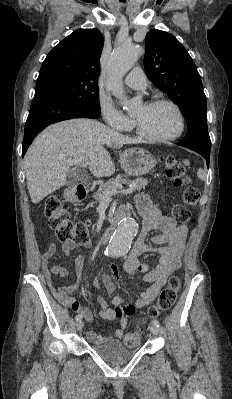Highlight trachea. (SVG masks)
<instances>
[{"mask_svg": "<svg viewBox=\"0 0 232 399\" xmlns=\"http://www.w3.org/2000/svg\"><path fill=\"white\" fill-rule=\"evenodd\" d=\"M120 2H126V0H120Z\"/></svg>", "mask_w": 232, "mask_h": 399, "instance_id": "1", "label": "trachea"}]
</instances>
